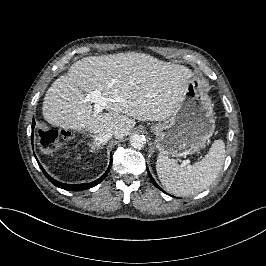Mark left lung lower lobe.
I'll return each instance as SVG.
<instances>
[{"label":"left lung lower lobe","mask_w":266,"mask_h":266,"mask_svg":"<svg viewBox=\"0 0 266 266\" xmlns=\"http://www.w3.org/2000/svg\"><path fill=\"white\" fill-rule=\"evenodd\" d=\"M148 174H149V177H150L152 183H153L157 188H159L160 190H162V189L157 185V183L154 181V179L152 178V176H151L149 170H148ZM162 191H163V190H162ZM163 192H164V191H163Z\"/></svg>","instance_id":"0a47b994"}]
</instances>
